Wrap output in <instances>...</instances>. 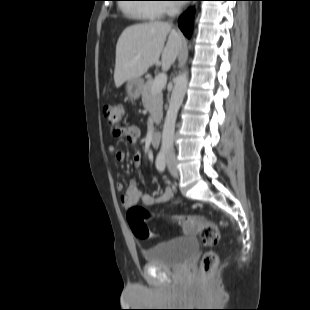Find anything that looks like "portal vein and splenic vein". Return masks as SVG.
<instances>
[{"label": "portal vein and splenic vein", "mask_w": 310, "mask_h": 310, "mask_svg": "<svg viewBox=\"0 0 310 310\" xmlns=\"http://www.w3.org/2000/svg\"><path fill=\"white\" fill-rule=\"evenodd\" d=\"M167 82V75L164 73L159 74L153 81L152 92L156 93L162 91Z\"/></svg>", "instance_id": "1"}]
</instances>
